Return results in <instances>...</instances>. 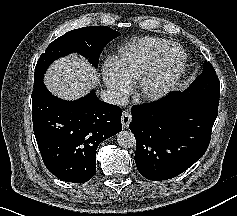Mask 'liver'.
<instances>
[{
  "label": "liver",
  "mask_w": 237,
  "mask_h": 216,
  "mask_svg": "<svg viewBox=\"0 0 237 216\" xmlns=\"http://www.w3.org/2000/svg\"><path fill=\"white\" fill-rule=\"evenodd\" d=\"M97 80L94 70L76 56L58 61L47 74L46 85L52 93L76 98Z\"/></svg>",
  "instance_id": "1"
}]
</instances>
